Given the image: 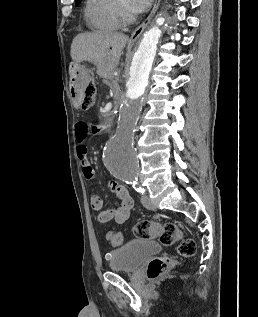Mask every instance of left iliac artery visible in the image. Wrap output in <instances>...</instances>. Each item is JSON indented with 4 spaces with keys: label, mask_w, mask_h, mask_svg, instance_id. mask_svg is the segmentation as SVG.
Returning a JSON list of instances; mask_svg holds the SVG:
<instances>
[{
    "label": "left iliac artery",
    "mask_w": 258,
    "mask_h": 317,
    "mask_svg": "<svg viewBox=\"0 0 258 317\" xmlns=\"http://www.w3.org/2000/svg\"><path fill=\"white\" fill-rule=\"evenodd\" d=\"M122 180L128 185H131L135 191L144 195L146 193L145 188L138 182L137 177H122Z\"/></svg>",
    "instance_id": "left-iliac-artery-1"
}]
</instances>
